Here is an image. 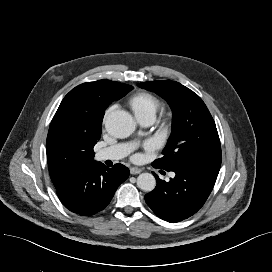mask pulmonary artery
<instances>
[{"instance_id": "pulmonary-artery-1", "label": "pulmonary artery", "mask_w": 272, "mask_h": 272, "mask_svg": "<svg viewBox=\"0 0 272 272\" xmlns=\"http://www.w3.org/2000/svg\"><path fill=\"white\" fill-rule=\"evenodd\" d=\"M154 122L153 119H146L140 121L143 126H150ZM134 147V144L131 143H121L113 145L104 149H101L97 152L96 158L99 161L105 160H119L124 158Z\"/></svg>"}]
</instances>
